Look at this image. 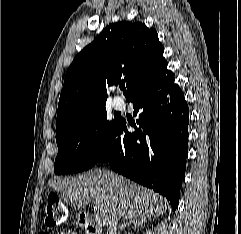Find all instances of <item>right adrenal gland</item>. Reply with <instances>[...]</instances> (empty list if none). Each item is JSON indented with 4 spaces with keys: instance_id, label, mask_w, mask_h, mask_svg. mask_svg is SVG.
Returning a JSON list of instances; mask_svg holds the SVG:
<instances>
[{
    "instance_id": "right-adrenal-gland-1",
    "label": "right adrenal gland",
    "mask_w": 241,
    "mask_h": 234,
    "mask_svg": "<svg viewBox=\"0 0 241 234\" xmlns=\"http://www.w3.org/2000/svg\"><path fill=\"white\" fill-rule=\"evenodd\" d=\"M146 222L145 218H135V219H131L129 218L126 223H123L120 227H119V232L123 231L125 229L126 226H133L134 228L140 227L143 225V223Z\"/></svg>"
}]
</instances>
